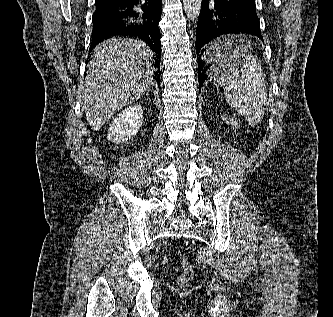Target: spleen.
Segmentation results:
<instances>
[{
    "instance_id": "spleen-1",
    "label": "spleen",
    "mask_w": 333,
    "mask_h": 317,
    "mask_svg": "<svg viewBox=\"0 0 333 317\" xmlns=\"http://www.w3.org/2000/svg\"><path fill=\"white\" fill-rule=\"evenodd\" d=\"M226 48L228 75L224 83L226 101L243 115L251 126L264 116L268 102L266 83L261 66L249 53V43L243 36H227L221 39Z\"/></svg>"
}]
</instances>
